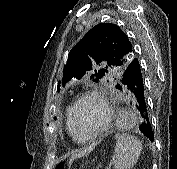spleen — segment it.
<instances>
[{
	"instance_id": "spleen-1",
	"label": "spleen",
	"mask_w": 177,
	"mask_h": 169,
	"mask_svg": "<svg viewBox=\"0 0 177 169\" xmlns=\"http://www.w3.org/2000/svg\"><path fill=\"white\" fill-rule=\"evenodd\" d=\"M116 145L113 159L115 169H131L139 159L142 143L135 136L127 133L115 134Z\"/></svg>"
}]
</instances>
